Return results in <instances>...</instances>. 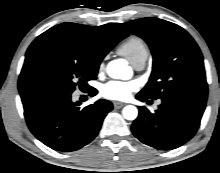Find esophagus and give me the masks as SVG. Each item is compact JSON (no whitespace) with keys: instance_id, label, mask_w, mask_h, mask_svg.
<instances>
[{"instance_id":"34e87169","label":"esophagus","mask_w":220,"mask_h":173,"mask_svg":"<svg viewBox=\"0 0 220 173\" xmlns=\"http://www.w3.org/2000/svg\"><path fill=\"white\" fill-rule=\"evenodd\" d=\"M124 105H125V104L122 103V102H118V101L113 102V106H114L115 109H120V108H122Z\"/></svg>"}]
</instances>
